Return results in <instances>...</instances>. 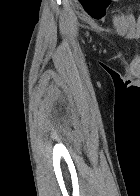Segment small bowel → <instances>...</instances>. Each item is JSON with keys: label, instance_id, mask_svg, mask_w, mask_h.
I'll list each match as a JSON object with an SVG mask.
<instances>
[{"label": "small bowel", "instance_id": "small-bowel-1", "mask_svg": "<svg viewBox=\"0 0 140 196\" xmlns=\"http://www.w3.org/2000/svg\"><path fill=\"white\" fill-rule=\"evenodd\" d=\"M111 1H118V0H109V2H111Z\"/></svg>", "mask_w": 140, "mask_h": 196}]
</instances>
